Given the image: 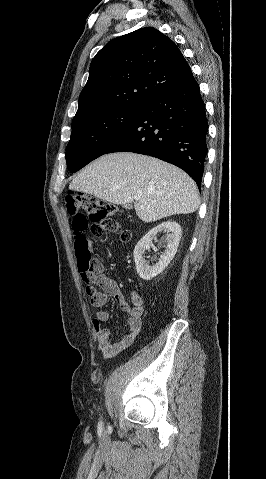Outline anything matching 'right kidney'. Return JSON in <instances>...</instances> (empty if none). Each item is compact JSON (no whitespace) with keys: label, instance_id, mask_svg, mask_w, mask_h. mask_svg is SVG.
Returning a JSON list of instances; mask_svg holds the SVG:
<instances>
[{"label":"right kidney","instance_id":"ca27d5eb","mask_svg":"<svg viewBox=\"0 0 266 479\" xmlns=\"http://www.w3.org/2000/svg\"><path fill=\"white\" fill-rule=\"evenodd\" d=\"M166 231L165 235V244L166 249L164 253L160 256L159 261L153 265L149 266L143 255L145 250L150 248L152 240L156 237L159 232ZM181 239V227L178 223L174 221H166L152 228L143 238L137 243L134 249V261L136 265V271L139 274L140 278L143 280H151L168 266L171 260L174 258L179 242Z\"/></svg>","mask_w":266,"mask_h":479}]
</instances>
